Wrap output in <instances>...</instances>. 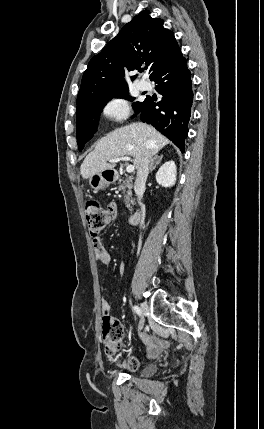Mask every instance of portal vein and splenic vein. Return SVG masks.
Listing matches in <instances>:
<instances>
[{"label":"portal vein and splenic vein","instance_id":"18ae733b","mask_svg":"<svg viewBox=\"0 0 264 429\" xmlns=\"http://www.w3.org/2000/svg\"><path fill=\"white\" fill-rule=\"evenodd\" d=\"M120 160H130V157H128V156H125V157H117V158H113L112 160H110V162H112V163H116V162H119ZM134 169H135V167H134L133 165H128V166L126 167V171H127L128 173H132V172L134 171Z\"/></svg>","mask_w":264,"mask_h":429}]
</instances>
